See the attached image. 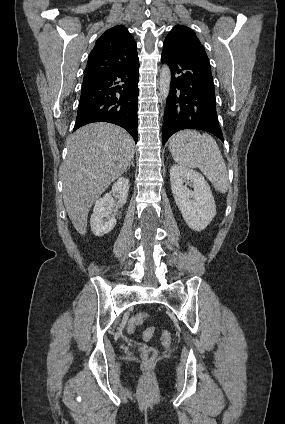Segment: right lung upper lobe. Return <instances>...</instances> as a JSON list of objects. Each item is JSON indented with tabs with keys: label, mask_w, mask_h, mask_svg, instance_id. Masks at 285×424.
Wrapping results in <instances>:
<instances>
[{
	"label": "right lung upper lobe",
	"mask_w": 285,
	"mask_h": 424,
	"mask_svg": "<svg viewBox=\"0 0 285 424\" xmlns=\"http://www.w3.org/2000/svg\"><path fill=\"white\" fill-rule=\"evenodd\" d=\"M136 42L123 25L106 30L97 39L84 72V79L94 78L129 67L138 62Z\"/></svg>",
	"instance_id": "cb5924a9"
}]
</instances>
